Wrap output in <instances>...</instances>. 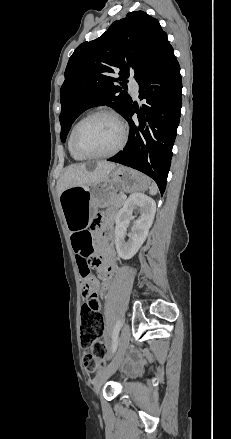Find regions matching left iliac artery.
Here are the masks:
<instances>
[{"instance_id": "left-iliac-artery-1", "label": "left iliac artery", "mask_w": 231, "mask_h": 439, "mask_svg": "<svg viewBox=\"0 0 231 439\" xmlns=\"http://www.w3.org/2000/svg\"><path fill=\"white\" fill-rule=\"evenodd\" d=\"M120 327H121V324H120V322H118L115 329H114L113 336H112V353H114L117 349L118 335H119Z\"/></svg>"}]
</instances>
